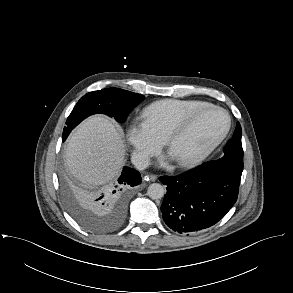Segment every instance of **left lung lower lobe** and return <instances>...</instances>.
<instances>
[{
    "instance_id": "0a47b994",
    "label": "left lung lower lobe",
    "mask_w": 293,
    "mask_h": 293,
    "mask_svg": "<svg viewBox=\"0 0 293 293\" xmlns=\"http://www.w3.org/2000/svg\"><path fill=\"white\" fill-rule=\"evenodd\" d=\"M242 172L208 161L178 176H162L167 194L161 206L169 228L190 234L211 227L237 200Z\"/></svg>"
}]
</instances>
